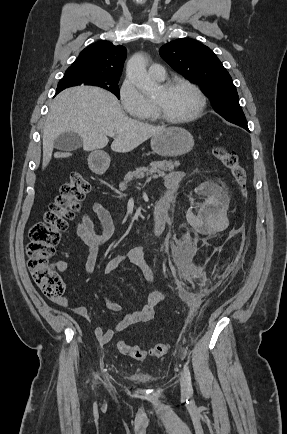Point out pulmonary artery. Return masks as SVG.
<instances>
[{
  "label": "pulmonary artery",
  "instance_id": "obj_1",
  "mask_svg": "<svg viewBox=\"0 0 287 434\" xmlns=\"http://www.w3.org/2000/svg\"><path fill=\"white\" fill-rule=\"evenodd\" d=\"M148 73L156 80H163L166 76L164 67L158 63L152 64L148 69Z\"/></svg>",
  "mask_w": 287,
  "mask_h": 434
}]
</instances>
